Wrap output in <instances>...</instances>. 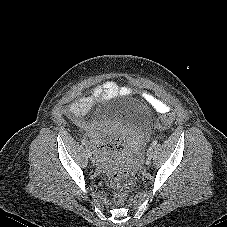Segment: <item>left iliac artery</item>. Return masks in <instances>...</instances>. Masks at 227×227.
<instances>
[{
	"mask_svg": "<svg viewBox=\"0 0 227 227\" xmlns=\"http://www.w3.org/2000/svg\"><path fill=\"white\" fill-rule=\"evenodd\" d=\"M156 144H157V141L154 140V141L152 142V145L155 146Z\"/></svg>",
	"mask_w": 227,
	"mask_h": 227,
	"instance_id": "1",
	"label": "left iliac artery"
}]
</instances>
